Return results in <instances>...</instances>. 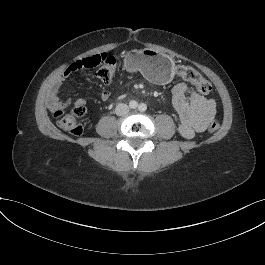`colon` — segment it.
<instances>
[{"label":"colon","instance_id":"1","mask_svg":"<svg viewBox=\"0 0 265 265\" xmlns=\"http://www.w3.org/2000/svg\"><path fill=\"white\" fill-rule=\"evenodd\" d=\"M99 67L97 71L98 78L104 82L109 83L115 75L117 67V57L107 53L95 54L90 57L83 58L74 62L67 69V73L79 71L85 68ZM176 74L193 83L198 92L201 94H208L211 91V84L206 80L197 70L190 66L179 65L176 67ZM84 106H76L75 108L65 111L58 109L55 111V117L58 125L72 135L78 136L82 133L83 128L79 123V119L85 114ZM219 123L212 121L208 126L209 132H215L219 129Z\"/></svg>","mask_w":265,"mask_h":265}]
</instances>
